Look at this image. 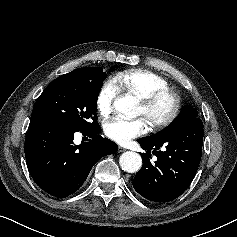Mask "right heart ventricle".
Masks as SVG:
<instances>
[{"mask_svg":"<svg viewBox=\"0 0 237 237\" xmlns=\"http://www.w3.org/2000/svg\"><path fill=\"white\" fill-rule=\"evenodd\" d=\"M113 81L118 88L139 99L158 91L169 90V83L165 78L142 69L120 72Z\"/></svg>","mask_w":237,"mask_h":237,"instance_id":"1","label":"right heart ventricle"}]
</instances>
